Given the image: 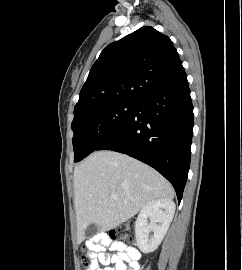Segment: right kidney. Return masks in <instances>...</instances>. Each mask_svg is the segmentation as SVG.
I'll use <instances>...</instances> for the list:
<instances>
[{"label": "right kidney", "instance_id": "obj_1", "mask_svg": "<svg viewBox=\"0 0 242 270\" xmlns=\"http://www.w3.org/2000/svg\"><path fill=\"white\" fill-rule=\"evenodd\" d=\"M175 213V203L169 199H155L140 211L135 222V237L138 248L149 253L155 251L167 233ZM150 218V223H148ZM153 235L149 237V233Z\"/></svg>", "mask_w": 242, "mask_h": 270}]
</instances>
